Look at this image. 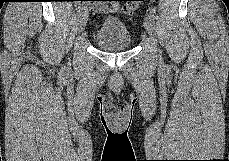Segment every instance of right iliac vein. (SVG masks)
<instances>
[{
	"mask_svg": "<svg viewBox=\"0 0 229 161\" xmlns=\"http://www.w3.org/2000/svg\"><path fill=\"white\" fill-rule=\"evenodd\" d=\"M88 8L86 6H82L79 10V17H78V31L81 32L84 30L87 21H88Z\"/></svg>",
	"mask_w": 229,
	"mask_h": 161,
	"instance_id": "63e3f726",
	"label": "right iliac vein"
}]
</instances>
